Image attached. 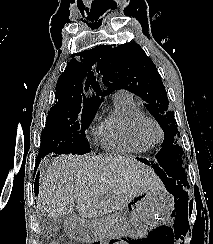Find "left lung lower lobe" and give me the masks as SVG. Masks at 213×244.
<instances>
[{
	"mask_svg": "<svg viewBox=\"0 0 213 244\" xmlns=\"http://www.w3.org/2000/svg\"><path fill=\"white\" fill-rule=\"evenodd\" d=\"M148 164V161L142 160ZM157 174L161 177L165 184L175 186L179 189V186L175 183L173 178L170 176V168L167 158L165 156H156V159L151 163Z\"/></svg>",
	"mask_w": 213,
	"mask_h": 244,
	"instance_id": "obj_1",
	"label": "left lung lower lobe"
}]
</instances>
